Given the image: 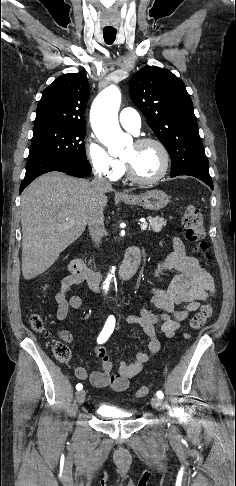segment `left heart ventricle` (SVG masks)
I'll use <instances>...</instances> for the list:
<instances>
[{"label":"left heart ventricle","mask_w":236,"mask_h":486,"mask_svg":"<svg viewBox=\"0 0 236 486\" xmlns=\"http://www.w3.org/2000/svg\"><path fill=\"white\" fill-rule=\"evenodd\" d=\"M123 159L130 164L134 173L141 178H151L162 168V155L154 144L143 146L132 144L124 153Z\"/></svg>","instance_id":"left-heart-ventricle-1"}]
</instances>
